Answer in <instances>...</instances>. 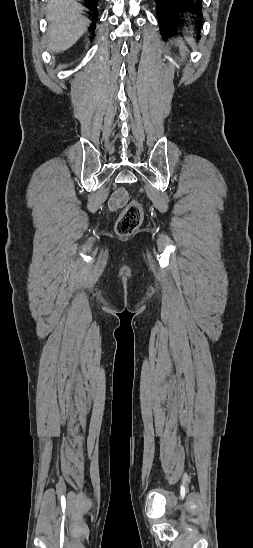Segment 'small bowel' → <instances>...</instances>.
I'll use <instances>...</instances> for the list:
<instances>
[{
	"mask_svg": "<svg viewBox=\"0 0 253 548\" xmlns=\"http://www.w3.org/2000/svg\"><path fill=\"white\" fill-rule=\"evenodd\" d=\"M127 200V192L124 188H118L114 191L112 194L110 200H109V208L112 211H116L120 209Z\"/></svg>",
	"mask_w": 253,
	"mask_h": 548,
	"instance_id": "obj_1",
	"label": "small bowel"
}]
</instances>
